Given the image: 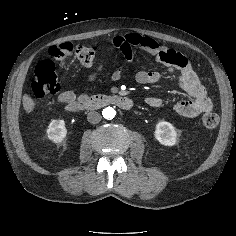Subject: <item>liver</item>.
<instances>
[{"mask_svg":"<svg viewBox=\"0 0 236 236\" xmlns=\"http://www.w3.org/2000/svg\"><path fill=\"white\" fill-rule=\"evenodd\" d=\"M22 102H23L24 110L27 113H31L34 110L35 102L28 94L23 95Z\"/></svg>","mask_w":236,"mask_h":236,"instance_id":"liver-1","label":"liver"}]
</instances>
